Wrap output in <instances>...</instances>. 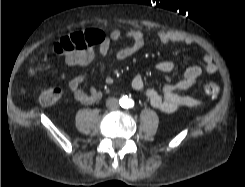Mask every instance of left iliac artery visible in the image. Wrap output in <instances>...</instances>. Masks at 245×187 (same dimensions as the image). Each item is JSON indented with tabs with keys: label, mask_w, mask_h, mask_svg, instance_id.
<instances>
[{
	"label": "left iliac artery",
	"mask_w": 245,
	"mask_h": 187,
	"mask_svg": "<svg viewBox=\"0 0 245 187\" xmlns=\"http://www.w3.org/2000/svg\"><path fill=\"white\" fill-rule=\"evenodd\" d=\"M134 106V101L132 99H130L128 102H127V107L128 108H131Z\"/></svg>",
	"instance_id": "obj_1"
}]
</instances>
